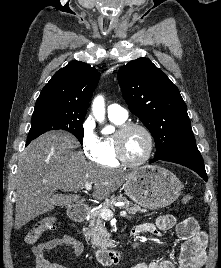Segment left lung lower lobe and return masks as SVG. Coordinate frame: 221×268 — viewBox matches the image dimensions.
Returning <instances> with one entry per match:
<instances>
[{"label": "left lung lower lobe", "instance_id": "1", "mask_svg": "<svg viewBox=\"0 0 221 268\" xmlns=\"http://www.w3.org/2000/svg\"><path fill=\"white\" fill-rule=\"evenodd\" d=\"M158 160H164L168 162H174L185 167H188L198 173L205 181H207V174L204 167L202 156L196 146V143L182 145L163 158H153L149 163H153Z\"/></svg>", "mask_w": 221, "mask_h": 268}]
</instances>
